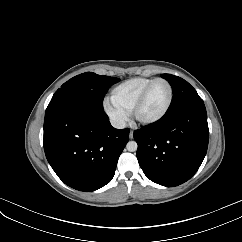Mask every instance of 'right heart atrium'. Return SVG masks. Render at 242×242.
<instances>
[{"instance_id": "obj_1", "label": "right heart atrium", "mask_w": 242, "mask_h": 242, "mask_svg": "<svg viewBox=\"0 0 242 242\" xmlns=\"http://www.w3.org/2000/svg\"><path fill=\"white\" fill-rule=\"evenodd\" d=\"M104 109L108 116L118 125H122L127 120V113L108 100L104 102Z\"/></svg>"}]
</instances>
